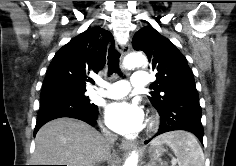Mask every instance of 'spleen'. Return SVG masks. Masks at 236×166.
<instances>
[{
    "instance_id": "3e777b00",
    "label": "spleen",
    "mask_w": 236,
    "mask_h": 166,
    "mask_svg": "<svg viewBox=\"0 0 236 166\" xmlns=\"http://www.w3.org/2000/svg\"><path fill=\"white\" fill-rule=\"evenodd\" d=\"M156 145H168L176 156L178 166H205V157L197 139L185 131H173L152 141Z\"/></svg>"
}]
</instances>
